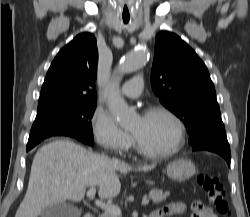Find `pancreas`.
<instances>
[{
  "label": "pancreas",
  "mask_w": 250,
  "mask_h": 217,
  "mask_svg": "<svg viewBox=\"0 0 250 217\" xmlns=\"http://www.w3.org/2000/svg\"><path fill=\"white\" fill-rule=\"evenodd\" d=\"M170 195L169 191L163 192V190L152 189L149 193V198L153 201L154 204H158L164 201ZM99 217H120V215L112 214L107 211L99 215Z\"/></svg>",
  "instance_id": "cf45deb5"
}]
</instances>
